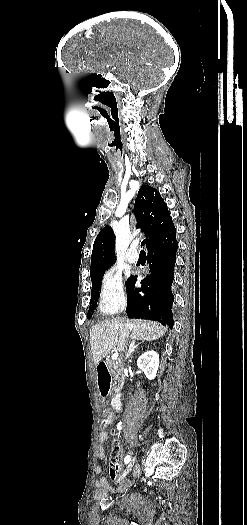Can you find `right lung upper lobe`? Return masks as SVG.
Here are the masks:
<instances>
[{"instance_id": "cb5924a9", "label": "right lung upper lobe", "mask_w": 247, "mask_h": 525, "mask_svg": "<svg viewBox=\"0 0 247 525\" xmlns=\"http://www.w3.org/2000/svg\"><path fill=\"white\" fill-rule=\"evenodd\" d=\"M134 213L137 228L145 233L146 242L173 224L167 204L160 193L151 186L143 185L135 201ZM115 236L111 227L105 226L94 241L90 275L102 274L113 263Z\"/></svg>"}]
</instances>
